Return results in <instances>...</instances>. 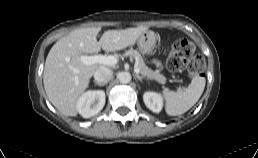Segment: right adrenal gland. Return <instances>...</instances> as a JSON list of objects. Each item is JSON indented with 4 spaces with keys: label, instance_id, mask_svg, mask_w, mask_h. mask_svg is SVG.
Here are the masks:
<instances>
[{
    "label": "right adrenal gland",
    "instance_id": "1",
    "mask_svg": "<svg viewBox=\"0 0 258 158\" xmlns=\"http://www.w3.org/2000/svg\"><path fill=\"white\" fill-rule=\"evenodd\" d=\"M95 84L98 85V86H104L105 85V83H98V82H95Z\"/></svg>",
    "mask_w": 258,
    "mask_h": 158
}]
</instances>
